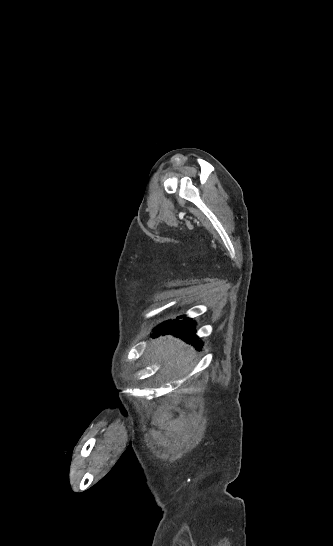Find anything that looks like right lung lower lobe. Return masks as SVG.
Wrapping results in <instances>:
<instances>
[{"mask_svg":"<svg viewBox=\"0 0 333 546\" xmlns=\"http://www.w3.org/2000/svg\"><path fill=\"white\" fill-rule=\"evenodd\" d=\"M179 319H174L166 321L163 324L157 326L154 329L152 337H157L161 335L171 334L177 336L184 341L192 343L197 350L202 348V342L199 341V338L196 336L195 322L192 321L189 317L179 316Z\"/></svg>","mask_w":333,"mask_h":546,"instance_id":"right-lung-lower-lobe-1","label":"right lung lower lobe"}]
</instances>
